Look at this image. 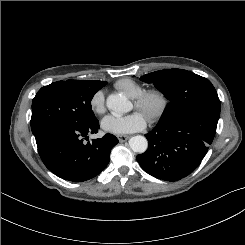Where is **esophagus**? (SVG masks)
Segmentation results:
<instances>
[{
    "instance_id": "esophagus-1",
    "label": "esophagus",
    "mask_w": 245,
    "mask_h": 245,
    "mask_svg": "<svg viewBox=\"0 0 245 245\" xmlns=\"http://www.w3.org/2000/svg\"><path fill=\"white\" fill-rule=\"evenodd\" d=\"M117 138L119 142L122 143V142H125L129 138V136L128 135H118Z\"/></svg>"
}]
</instances>
